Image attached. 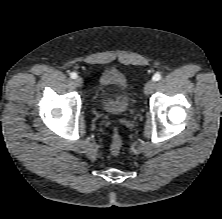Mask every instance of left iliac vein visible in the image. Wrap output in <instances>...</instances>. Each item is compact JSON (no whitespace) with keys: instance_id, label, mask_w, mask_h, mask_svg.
<instances>
[{"instance_id":"obj_1","label":"left iliac vein","mask_w":222,"mask_h":219,"mask_svg":"<svg viewBox=\"0 0 222 219\" xmlns=\"http://www.w3.org/2000/svg\"><path fill=\"white\" fill-rule=\"evenodd\" d=\"M155 82L154 81H149V82H147L146 84H145V86H144V93L145 94H150L153 90H154V88H155Z\"/></svg>"}]
</instances>
